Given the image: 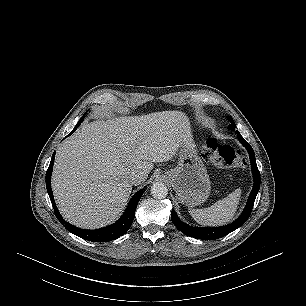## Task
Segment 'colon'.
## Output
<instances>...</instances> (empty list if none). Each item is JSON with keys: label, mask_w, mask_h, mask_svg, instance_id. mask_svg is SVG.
<instances>
[{"label": "colon", "mask_w": 306, "mask_h": 306, "mask_svg": "<svg viewBox=\"0 0 306 306\" xmlns=\"http://www.w3.org/2000/svg\"><path fill=\"white\" fill-rule=\"evenodd\" d=\"M203 155L222 168L244 167L246 165V158L240 150L229 145H220L213 138L206 140Z\"/></svg>", "instance_id": "obj_1"}]
</instances>
